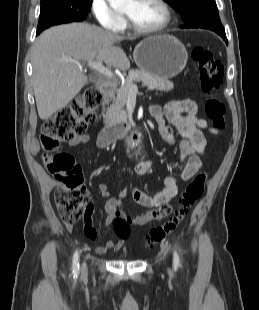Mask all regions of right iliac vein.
<instances>
[{"label":"right iliac vein","mask_w":259,"mask_h":310,"mask_svg":"<svg viewBox=\"0 0 259 310\" xmlns=\"http://www.w3.org/2000/svg\"><path fill=\"white\" fill-rule=\"evenodd\" d=\"M86 276H87V265L86 262H83L81 266V277L85 278Z\"/></svg>","instance_id":"63e3f726"}]
</instances>
